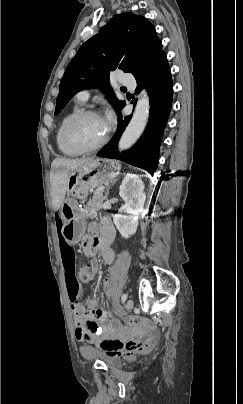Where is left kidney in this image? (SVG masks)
Masks as SVG:
<instances>
[{"instance_id": "1", "label": "left kidney", "mask_w": 243, "mask_h": 404, "mask_svg": "<svg viewBox=\"0 0 243 404\" xmlns=\"http://www.w3.org/2000/svg\"><path fill=\"white\" fill-rule=\"evenodd\" d=\"M144 188V182L137 174H127L120 186L119 196L125 204L121 206L119 214L113 216V222L122 238H130L138 228L146 200Z\"/></svg>"}]
</instances>
